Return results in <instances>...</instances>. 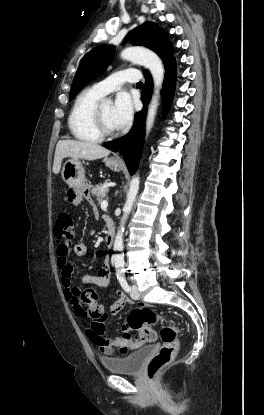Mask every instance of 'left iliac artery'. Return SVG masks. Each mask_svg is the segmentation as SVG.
Segmentation results:
<instances>
[{
    "label": "left iliac artery",
    "mask_w": 264,
    "mask_h": 415,
    "mask_svg": "<svg viewBox=\"0 0 264 415\" xmlns=\"http://www.w3.org/2000/svg\"><path fill=\"white\" fill-rule=\"evenodd\" d=\"M119 282H120L121 287L124 289V291L126 292L130 291V286L128 285L124 277L119 278Z\"/></svg>",
    "instance_id": "left-iliac-artery-1"
}]
</instances>
